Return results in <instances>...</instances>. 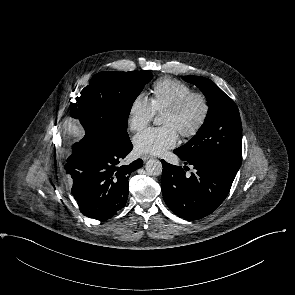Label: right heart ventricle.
Wrapping results in <instances>:
<instances>
[{
    "label": "right heart ventricle",
    "mask_w": 295,
    "mask_h": 295,
    "mask_svg": "<svg viewBox=\"0 0 295 295\" xmlns=\"http://www.w3.org/2000/svg\"><path fill=\"white\" fill-rule=\"evenodd\" d=\"M151 104L155 113H162L193 92L192 87L178 79L160 78L152 85Z\"/></svg>",
    "instance_id": "right-heart-ventricle-1"
}]
</instances>
